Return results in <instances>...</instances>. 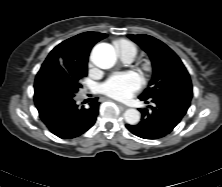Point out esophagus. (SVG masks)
Returning <instances> with one entry per match:
<instances>
[{
	"instance_id": "esophagus-1",
	"label": "esophagus",
	"mask_w": 222,
	"mask_h": 187,
	"mask_svg": "<svg viewBox=\"0 0 222 187\" xmlns=\"http://www.w3.org/2000/svg\"><path fill=\"white\" fill-rule=\"evenodd\" d=\"M118 105H119L121 108H123V109H127V108H128V106H126V105H124V104H122V103H118Z\"/></svg>"
}]
</instances>
